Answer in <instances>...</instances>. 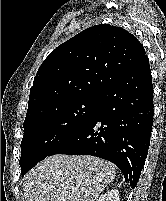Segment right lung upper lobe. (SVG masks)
Returning <instances> with one entry per match:
<instances>
[{
    "mask_svg": "<svg viewBox=\"0 0 166 201\" xmlns=\"http://www.w3.org/2000/svg\"><path fill=\"white\" fill-rule=\"evenodd\" d=\"M145 55L137 38L121 27L85 29L59 45L39 67L26 118L78 97L100 95Z\"/></svg>",
    "mask_w": 166,
    "mask_h": 201,
    "instance_id": "1",
    "label": "right lung upper lobe"
}]
</instances>
